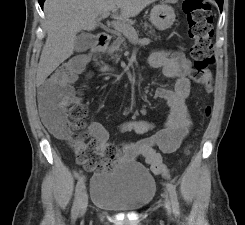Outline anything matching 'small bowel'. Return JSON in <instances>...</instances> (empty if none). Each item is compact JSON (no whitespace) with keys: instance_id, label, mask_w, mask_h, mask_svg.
<instances>
[{"instance_id":"1","label":"small bowel","mask_w":245,"mask_h":225,"mask_svg":"<svg viewBox=\"0 0 245 225\" xmlns=\"http://www.w3.org/2000/svg\"><path fill=\"white\" fill-rule=\"evenodd\" d=\"M145 63L153 68H162L164 76L175 80L172 87L162 86L155 91V97L166 102L169 114L162 126L156 130L154 123L146 119L124 120L118 129L140 135L152 132L149 136L127 142L124 146L125 156L131 161L144 160L154 174H159L154 166L156 158L161 161L159 152L165 154L175 152L193 127L186 105V100L191 91L189 77L191 63L182 51L167 49L151 52ZM37 98L42 107L43 122L47 126H54L60 114V109L57 106H64L68 99L59 103L44 90L38 92ZM88 130L98 146L100 156L103 157L105 148L109 143V131L97 121L89 123Z\"/></svg>"}]
</instances>
